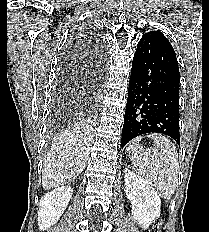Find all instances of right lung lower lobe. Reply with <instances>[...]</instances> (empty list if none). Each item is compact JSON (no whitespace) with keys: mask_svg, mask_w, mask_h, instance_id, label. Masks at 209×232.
Returning <instances> with one entry per match:
<instances>
[{"mask_svg":"<svg viewBox=\"0 0 209 232\" xmlns=\"http://www.w3.org/2000/svg\"><path fill=\"white\" fill-rule=\"evenodd\" d=\"M97 60L99 61L96 62L94 74L100 77L103 73V64H102L101 59H97Z\"/></svg>","mask_w":209,"mask_h":232,"instance_id":"98d812e1","label":"right lung lower lobe"}]
</instances>
